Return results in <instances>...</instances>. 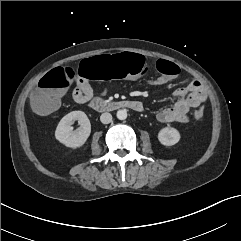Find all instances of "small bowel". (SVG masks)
<instances>
[{"label": "small bowel", "mask_w": 241, "mask_h": 241, "mask_svg": "<svg viewBox=\"0 0 241 241\" xmlns=\"http://www.w3.org/2000/svg\"><path fill=\"white\" fill-rule=\"evenodd\" d=\"M172 78L174 77L162 75L151 83L164 85ZM96 94L97 92L93 90L88 80L80 78L72 91V98L75 102L84 104L92 100ZM173 97L176 99L175 103L157 113V119L162 123H187L190 109L199 107L206 100L207 94L201 81L194 79L186 87L176 89L173 92ZM134 102L137 104L136 109H142L140 102Z\"/></svg>", "instance_id": "1"}]
</instances>
